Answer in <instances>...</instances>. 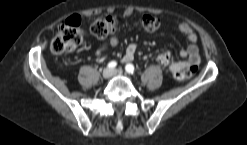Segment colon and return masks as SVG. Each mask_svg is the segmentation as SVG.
<instances>
[{"mask_svg": "<svg viewBox=\"0 0 247 145\" xmlns=\"http://www.w3.org/2000/svg\"><path fill=\"white\" fill-rule=\"evenodd\" d=\"M121 18L115 15H106L94 19L88 27L91 35L97 38H104L118 31L121 25ZM140 24L145 31L154 32L160 28L159 20L152 15H144L140 19ZM83 28L81 19L78 16L71 17L63 22L53 38L50 49L55 55H64L73 52L82 42ZM159 62L164 65L170 63V58L167 54H162ZM197 69L191 68L188 71H177L174 75L179 78L193 77Z\"/></svg>", "mask_w": 247, "mask_h": 145, "instance_id": "colon-1", "label": "colon"}]
</instances>
